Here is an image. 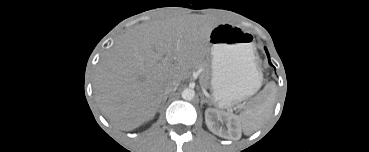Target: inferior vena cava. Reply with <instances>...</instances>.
<instances>
[{
    "mask_svg": "<svg viewBox=\"0 0 369 152\" xmlns=\"http://www.w3.org/2000/svg\"><path fill=\"white\" fill-rule=\"evenodd\" d=\"M178 81H173V80H169L166 82L165 87H164V95L172 92V91H176L178 86H179Z\"/></svg>",
    "mask_w": 369,
    "mask_h": 152,
    "instance_id": "602c4592",
    "label": "inferior vena cava"
}]
</instances>
